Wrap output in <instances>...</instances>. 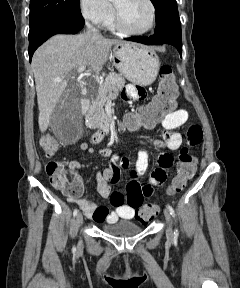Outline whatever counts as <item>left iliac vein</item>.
<instances>
[{
	"label": "left iliac vein",
	"mask_w": 240,
	"mask_h": 288,
	"mask_svg": "<svg viewBox=\"0 0 240 288\" xmlns=\"http://www.w3.org/2000/svg\"><path fill=\"white\" fill-rule=\"evenodd\" d=\"M163 212H164V216L168 222V226L166 229V235H167L168 240H172L173 239V229H172L171 213L167 208H165Z\"/></svg>",
	"instance_id": "4c4485c4"
}]
</instances>
